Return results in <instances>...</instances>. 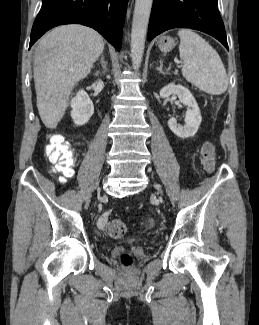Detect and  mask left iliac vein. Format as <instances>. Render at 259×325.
I'll return each mask as SVG.
<instances>
[{"label":"left iliac vein","mask_w":259,"mask_h":325,"mask_svg":"<svg viewBox=\"0 0 259 325\" xmlns=\"http://www.w3.org/2000/svg\"><path fill=\"white\" fill-rule=\"evenodd\" d=\"M155 188H156L158 191H160V192H161V187H160V185H159V184H155Z\"/></svg>","instance_id":"obj_1"}]
</instances>
